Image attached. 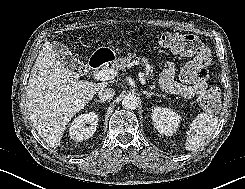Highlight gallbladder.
I'll use <instances>...</instances> for the list:
<instances>
[{
    "label": "gallbladder",
    "mask_w": 245,
    "mask_h": 189,
    "mask_svg": "<svg viewBox=\"0 0 245 189\" xmlns=\"http://www.w3.org/2000/svg\"><path fill=\"white\" fill-rule=\"evenodd\" d=\"M52 47L56 54L61 58L62 62L71 70L77 71L79 74H84L87 70V66L79 60L76 56H74L69 48L59 42L54 41L52 43Z\"/></svg>",
    "instance_id": "bac80fb5"
}]
</instances>
